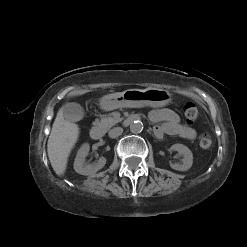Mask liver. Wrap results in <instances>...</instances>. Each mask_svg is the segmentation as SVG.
I'll use <instances>...</instances> for the list:
<instances>
[{
    "label": "liver",
    "mask_w": 247,
    "mask_h": 247,
    "mask_svg": "<svg viewBox=\"0 0 247 247\" xmlns=\"http://www.w3.org/2000/svg\"><path fill=\"white\" fill-rule=\"evenodd\" d=\"M79 133L78 125L66 121L63 117V107L60 108L47 143L50 163L59 176L65 173L68 157L78 140Z\"/></svg>",
    "instance_id": "1"
}]
</instances>
